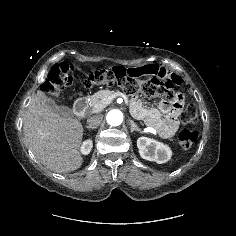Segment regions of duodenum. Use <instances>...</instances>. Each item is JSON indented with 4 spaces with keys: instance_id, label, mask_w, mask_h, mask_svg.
I'll list each match as a JSON object with an SVG mask.
<instances>
[{
    "instance_id": "410a0bca",
    "label": "duodenum",
    "mask_w": 236,
    "mask_h": 236,
    "mask_svg": "<svg viewBox=\"0 0 236 236\" xmlns=\"http://www.w3.org/2000/svg\"><path fill=\"white\" fill-rule=\"evenodd\" d=\"M87 107L88 104L86 98L80 97L75 101L73 109L76 115L84 116L87 111Z\"/></svg>"
}]
</instances>
